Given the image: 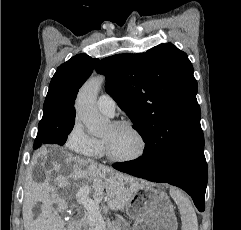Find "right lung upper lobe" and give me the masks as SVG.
<instances>
[{"mask_svg": "<svg viewBox=\"0 0 241 230\" xmlns=\"http://www.w3.org/2000/svg\"><path fill=\"white\" fill-rule=\"evenodd\" d=\"M99 59L77 54L57 68L47 93L43 116L58 121L75 119L74 100L82 84L91 75Z\"/></svg>", "mask_w": 241, "mask_h": 230, "instance_id": "cb5924a9", "label": "right lung upper lobe"}]
</instances>
